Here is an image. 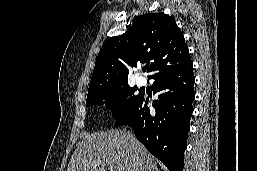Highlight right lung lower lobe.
Segmentation results:
<instances>
[{
	"label": "right lung lower lobe",
	"instance_id": "obj_1",
	"mask_svg": "<svg viewBox=\"0 0 257 171\" xmlns=\"http://www.w3.org/2000/svg\"><path fill=\"white\" fill-rule=\"evenodd\" d=\"M155 111L147 107L144 95L138 99L115 126L129 125L136 138L170 171H182L187 134L195 97L193 65L191 58L182 65L164 70L152 77Z\"/></svg>",
	"mask_w": 257,
	"mask_h": 171
}]
</instances>
